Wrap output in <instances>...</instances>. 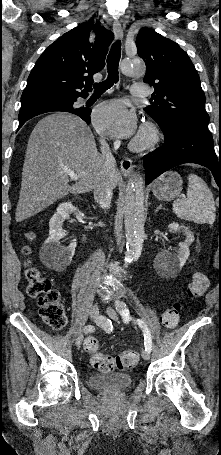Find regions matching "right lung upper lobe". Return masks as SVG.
I'll use <instances>...</instances> for the list:
<instances>
[{"label":"right lung upper lobe","instance_id":"right-lung-upper-lobe-1","mask_svg":"<svg viewBox=\"0 0 221 455\" xmlns=\"http://www.w3.org/2000/svg\"><path fill=\"white\" fill-rule=\"evenodd\" d=\"M96 32L94 46L90 30ZM114 34L86 22L63 34L39 57L21 97V110L51 106L85 96L92 90L93 75L105 65L108 46Z\"/></svg>","mask_w":221,"mask_h":455}]
</instances>
